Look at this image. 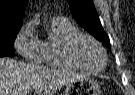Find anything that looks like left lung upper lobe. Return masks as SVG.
<instances>
[{
	"label": "left lung upper lobe",
	"instance_id": "1",
	"mask_svg": "<svg viewBox=\"0 0 135 95\" xmlns=\"http://www.w3.org/2000/svg\"><path fill=\"white\" fill-rule=\"evenodd\" d=\"M73 17L85 30L96 39L103 42L108 48L110 40L105 33L92 0H67Z\"/></svg>",
	"mask_w": 135,
	"mask_h": 95
}]
</instances>
